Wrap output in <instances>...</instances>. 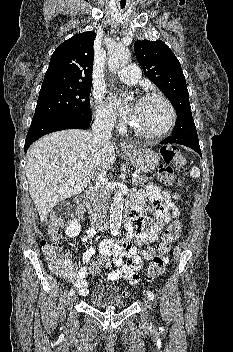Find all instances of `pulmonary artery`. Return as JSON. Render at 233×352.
Listing matches in <instances>:
<instances>
[{
  "label": "pulmonary artery",
  "instance_id": "1",
  "mask_svg": "<svg viewBox=\"0 0 233 352\" xmlns=\"http://www.w3.org/2000/svg\"><path fill=\"white\" fill-rule=\"evenodd\" d=\"M118 77L127 84H136L140 79V70L135 65H128L118 72Z\"/></svg>",
  "mask_w": 233,
  "mask_h": 352
}]
</instances>
